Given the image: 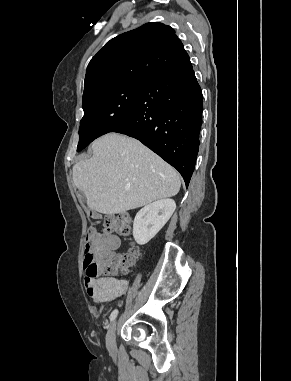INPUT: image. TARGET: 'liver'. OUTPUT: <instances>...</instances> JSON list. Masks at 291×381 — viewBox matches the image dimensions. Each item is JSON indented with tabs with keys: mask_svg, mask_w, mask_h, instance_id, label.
<instances>
[{
	"mask_svg": "<svg viewBox=\"0 0 291 381\" xmlns=\"http://www.w3.org/2000/svg\"><path fill=\"white\" fill-rule=\"evenodd\" d=\"M92 149L73 166V182L94 211L120 214L179 192L178 172L136 139L109 133Z\"/></svg>",
	"mask_w": 291,
	"mask_h": 381,
	"instance_id": "6515ba94",
	"label": "liver"
}]
</instances>
